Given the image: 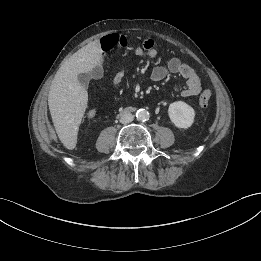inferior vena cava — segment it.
<instances>
[{"instance_id": "obj_1", "label": "inferior vena cava", "mask_w": 261, "mask_h": 261, "mask_svg": "<svg viewBox=\"0 0 261 261\" xmlns=\"http://www.w3.org/2000/svg\"><path fill=\"white\" fill-rule=\"evenodd\" d=\"M134 119V116L131 114V113H123L121 116H120V122L122 124H127V123H130L131 121H133Z\"/></svg>"}]
</instances>
